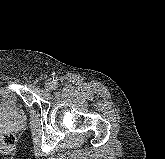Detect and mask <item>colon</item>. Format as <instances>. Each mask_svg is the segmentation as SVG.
Listing matches in <instances>:
<instances>
[{
	"mask_svg": "<svg viewBox=\"0 0 165 159\" xmlns=\"http://www.w3.org/2000/svg\"><path fill=\"white\" fill-rule=\"evenodd\" d=\"M16 138L12 133H4L0 135V152L8 154L15 146Z\"/></svg>",
	"mask_w": 165,
	"mask_h": 159,
	"instance_id": "1",
	"label": "colon"
}]
</instances>
